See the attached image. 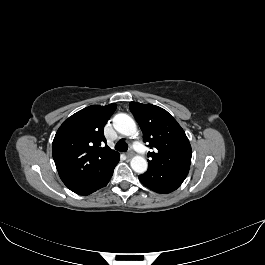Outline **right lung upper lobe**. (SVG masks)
<instances>
[{"label": "right lung upper lobe", "instance_id": "cb5924a9", "mask_svg": "<svg viewBox=\"0 0 265 265\" xmlns=\"http://www.w3.org/2000/svg\"><path fill=\"white\" fill-rule=\"evenodd\" d=\"M115 103L92 105L66 119L52 144V155L63 183L70 189L89 181L119 159L104 145V126L116 110Z\"/></svg>", "mask_w": 265, "mask_h": 265}]
</instances>
